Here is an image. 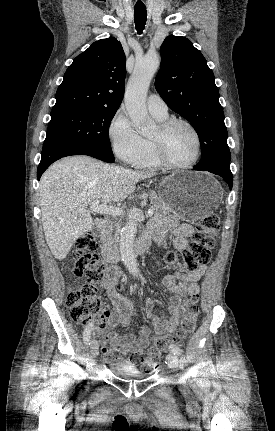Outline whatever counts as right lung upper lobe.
I'll return each mask as SVG.
<instances>
[{"mask_svg": "<svg viewBox=\"0 0 275 431\" xmlns=\"http://www.w3.org/2000/svg\"><path fill=\"white\" fill-rule=\"evenodd\" d=\"M125 54L117 39L94 42L64 74L51 113L71 109H118L124 96Z\"/></svg>", "mask_w": 275, "mask_h": 431, "instance_id": "1", "label": "right lung upper lobe"}]
</instances>
